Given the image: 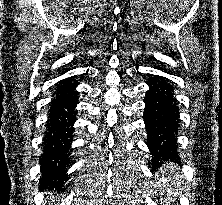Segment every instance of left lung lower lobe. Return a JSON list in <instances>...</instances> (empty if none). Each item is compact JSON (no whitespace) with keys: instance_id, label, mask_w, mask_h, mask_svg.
<instances>
[{"instance_id":"left-lung-lower-lobe-1","label":"left lung lower lobe","mask_w":222,"mask_h":205,"mask_svg":"<svg viewBox=\"0 0 222 205\" xmlns=\"http://www.w3.org/2000/svg\"><path fill=\"white\" fill-rule=\"evenodd\" d=\"M150 89L146 92L144 122L147 129V146L151 150L153 163L176 159L175 135L179 127V114L174 90L168 79L162 76L149 78ZM162 150L164 154H158Z\"/></svg>"}]
</instances>
